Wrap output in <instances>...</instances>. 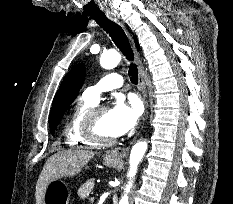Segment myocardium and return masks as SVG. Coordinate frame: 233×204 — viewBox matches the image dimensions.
I'll return each instance as SVG.
<instances>
[{
	"instance_id": "obj_1",
	"label": "myocardium",
	"mask_w": 233,
	"mask_h": 204,
	"mask_svg": "<svg viewBox=\"0 0 233 204\" xmlns=\"http://www.w3.org/2000/svg\"><path fill=\"white\" fill-rule=\"evenodd\" d=\"M107 110L106 106L96 105L90 108L84 116L82 132L86 139L95 145H110L116 142V137H105L99 134L97 129V119L101 112Z\"/></svg>"
}]
</instances>
